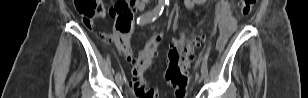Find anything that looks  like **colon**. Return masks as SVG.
I'll return each instance as SVG.
<instances>
[{
    "label": "colon",
    "mask_w": 308,
    "mask_h": 98,
    "mask_svg": "<svg viewBox=\"0 0 308 98\" xmlns=\"http://www.w3.org/2000/svg\"><path fill=\"white\" fill-rule=\"evenodd\" d=\"M256 0H241L240 12L243 16L250 13ZM135 1H118L110 10L112 17L116 19L114 34H98V37L103 41H113L118 50L125 54L130 55V44L128 38L129 31H138L140 26L138 24H131L133 18V6ZM74 7L82 18L83 23L92 28V20L102 16L104 12L101 0H74ZM146 29H153L154 27H145ZM204 36L201 32L193 34L189 38L188 46L182 50H178L176 45L171 48L169 59L168 79L171 86L175 91L177 97L181 98L185 94L187 84V70L191 65L194 58L192 53L193 46H198L203 40ZM159 42V37L153 35L146 42L144 50L141 52L138 59L135 61L133 67V87L138 96L144 98H153L154 92L147 85L146 81L142 78V74L150 64Z\"/></svg>",
    "instance_id": "1"
}]
</instances>
